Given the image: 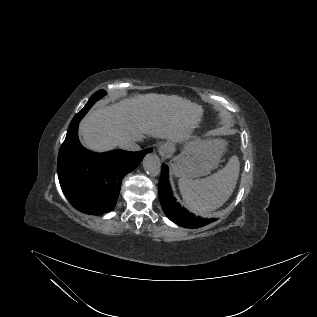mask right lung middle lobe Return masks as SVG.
<instances>
[{
	"mask_svg": "<svg viewBox=\"0 0 317 317\" xmlns=\"http://www.w3.org/2000/svg\"><path fill=\"white\" fill-rule=\"evenodd\" d=\"M106 94V92L104 90H100L98 92H96L95 94L92 95V97L89 99L88 103L84 106V108L75 115L74 119L72 120L71 124L76 121L77 119H81L86 113L87 111L91 108V106L97 101L99 100L102 96H104ZM70 124V126H71ZM69 126V127H70Z\"/></svg>",
	"mask_w": 317,
	"mask_h": 317,
	"instance_id": "right-lung-middle-lobe-1",
	"label": "right lung middle lobe"
}]
</instances>
